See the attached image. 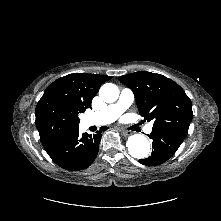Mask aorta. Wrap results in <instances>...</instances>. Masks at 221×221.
Listing matches in <instances>:
<instances>
[{
  "mask_svg": "<svg viewBox=\"0 0 221 221\" xmlns=\"http://www.w3.org/2000/svg\"><path fill=\"white\" fill-rule=\"evenodd\" d=\"M99 95L104 102L113 103L119 97V89L115 84L106 83L101 86ZM126 146L129 154L137 159H143L150 153V143L142 134L129 136Z\"/></svg>",
  "mask_w": 221,
  "mask_h": 221,
  "instance_id": "1",
  "label": "aorta"
}]
</instances>
